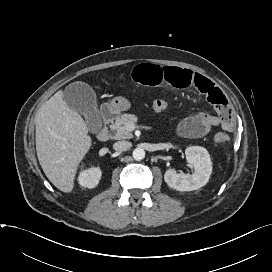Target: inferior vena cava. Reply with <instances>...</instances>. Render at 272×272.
Segmentation results:
<instances>
[{
    "label": "inferior vena cava",
    "instance_id": "obj_1",
    "mask_svg": "<svg viewBox=\"0 0 272 272\" xmlns=\"http://www.w3.org/2000/svg\"><path fill=\"white\" fill-rule=\"evenodd\" d=\"M132 144L128 141H118L115 142L113 148L115 151H126L130 149Z\"/></svg>",
    "mask_w": 272,
    "mask_h": 272
}]
</instances>
